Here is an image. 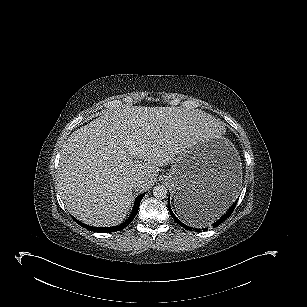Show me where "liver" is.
I'll return each mask as SVG.
<instances>
[{
    "mask_svg": "<svg viewBox=\"0 0 307 307\" xmlns=\"http://www.w3.org/2000/svg\"><path fill=\"white\" fill-rule=\"evenodd\" d=\"M220 123L201 111L134 106L107 110L74 131L60 153L58 187L67 210L92 226H114L130 210L134 179L148 190L159 167L202 138H219Z\"/></svg>",
    "mask_w": 307,
    "mask_h": 307,
    "instance_id": "6515ba94",
    "label": "liver"
}]
</instances>
